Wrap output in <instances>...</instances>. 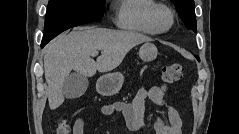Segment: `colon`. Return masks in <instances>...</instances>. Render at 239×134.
<instances>
[{
	"mask_svg": "<svg viewBox=\"0 0 239 134\" xmlns=\"http://www.w3.org/2000/svg\"><path fill=\"white\" fill-rule=\"evenodd\" d=\"M183 74L182 65L179 63H171L163 68L162 77L167 86L173 85L178 82ZM69 124L63 120L58 127V134H68Z\"/></svg>",
	"mask_w": 239,
	"mask_h": 134,
	"instance_id": "1",
	"label": "colon"
}]
</instances>
